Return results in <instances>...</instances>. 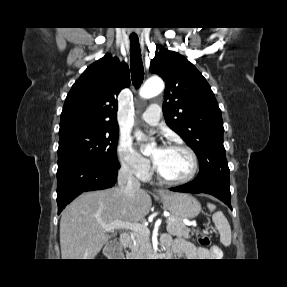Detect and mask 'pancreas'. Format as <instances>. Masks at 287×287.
I'll return each instance as SVG.
<instances>
[{
  "label": "pancreas",
  "mask_w": 287,
  "mask_h": 287,
  "mask_svg": "<svg viewBox=\"0 0 287 287\" xmlns=\"http://www.w3.org/2000/svg\"><path fill=\"white\" fill-rule=\"evenodd\" d=\"M166 229L169 234L177 237H183L185 239H189L191 237L190 232L192 235L195 232V230L191 231L185 226L183 219L174 215H171L167 220ZM129 248L131 252L128 253L127 256L130 258H144L148 256L152 250L150 233L134 232L131 237Z\"/></svg>",
  "instance_id": "pancreas-1"
}]
</instances>
